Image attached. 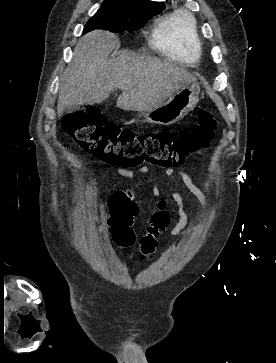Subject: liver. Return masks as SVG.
<instances>
[{
	"instance_id": "obj_1",
	"label": "liver",
	"mask_w": 276,
	"mask_h": 363,
	"mask_svg": "<svg viewBox=\"0 0 276 363\" xmlns=\"http://www.w3.org/2000/svg\"><path fill=\"white\" fill-rule=\"evenodd\" d=\"M118 45L117 36L108 31L95 30L79 39L60 79L59 117L69 106L101 103L115 89L123 91L117 99L120 109L149 110L196 80L182 66L130 51L110 59Z\"/></svg>"
}]
</instances>
